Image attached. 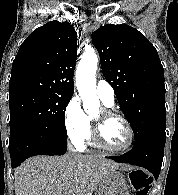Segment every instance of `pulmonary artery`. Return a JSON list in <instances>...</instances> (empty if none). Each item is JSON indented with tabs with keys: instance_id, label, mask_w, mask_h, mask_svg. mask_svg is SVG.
<instances>
[{
	"instance_id": "e3ab8cb5",
	"label": "pulmonary artery",
	"mask_w": 178,
	"mask_h": 195,
	"mask_svg": "<svg viewBox=\"0 0 178 195\" xmlns=\"http://www.w3.org/2000/svg\"><path fill=\"white\" fill-rule=\"evenodd\" d=\"M96 92L102 102L113 105L115 101V91L113 87L104 79L97 82Z\"/></svg>"
}]
</instances>
